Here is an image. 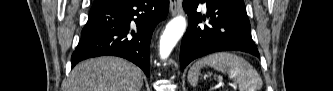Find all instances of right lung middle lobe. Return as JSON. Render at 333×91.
Masks as SVG:
<instances>
[{
    "instance_id": "dd1d6c3e",
    "label": "right lung middle lobe",
    "mask_w": 333,
    "mask_h": 91,
    "mask_svg": "<svg viewBox=\"0 0 333 91\" xmlns=\"http://www.w3.org/2000/svg\"><path fill=\"white\" fill-rule=\"evenodd\" d=\"M122 0H95L93 6H108L121 2Z\"/></svg>"
}]
</instances>
